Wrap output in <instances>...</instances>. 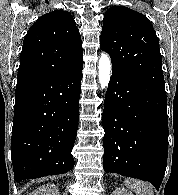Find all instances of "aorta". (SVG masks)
Masks as SVG:
<instances>
[{
	"instance_id": "obj_1",
	"label": "aorta",
	"mask_w": 178,
	"mask_h": 195,
	"mask_svg": "<svg viewBox=\"0 0 178 195\" xmlns=\"http://www.w3.org/2000/svg\"><path fill=\"white\" fill-rule=\"evenodd\" d=\"M111 77V61L107 54L102 53L98 62V79L101 89H105Z\"/></svg>"
}]
</instances>
